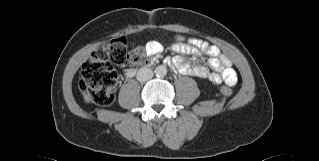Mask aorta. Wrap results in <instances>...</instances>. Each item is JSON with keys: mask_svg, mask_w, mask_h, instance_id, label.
Returning a JSON list of instances; mask_svg holds the SVG:
<instances>
[{"mask_svg": "<svg viewBox=\"0 0 319 161\" xmlns=\"http://www.w3.org/2000/svg\"><path fill=\"white\" fill-rule=\"evenodd\" d=\"M155 74L158 77H164L167 74V69L164 65H159L155 68Z\"/></svg>", "mask_w": 319, "mask_h": 161, "instance_id": "obj_1", "label": "aorta"}]
</instances>
